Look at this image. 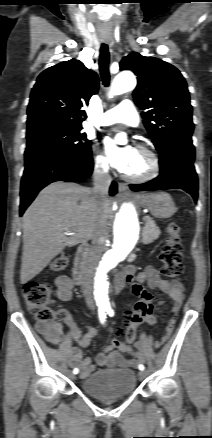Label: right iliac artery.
<instances>
[{"label": "right iliac artery", "mask_w": 212, "mask_h": 438, "mask_svg": "<svg viewBox=\"0 0 212 438\" xmlns=\"http://www.w3.org/2000/svg\"><path fill=\"white\" fill-rule=\"evenodd\" d=\"M105 311H106V310H105V309H102V308H100V309L98 310L99 319H100V322H101L102 324H104V322H105V318H106ZM73 373H74V374L79 373V369H78V368H75V369L73 370Z\"/></svg>", "instance_id": "obj_1"}]
</instances>
